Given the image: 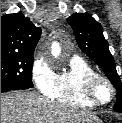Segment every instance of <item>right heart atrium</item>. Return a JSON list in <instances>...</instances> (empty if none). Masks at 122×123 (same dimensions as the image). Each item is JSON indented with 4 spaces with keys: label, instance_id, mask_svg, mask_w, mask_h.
<instances>
[{
    "label": "right heart atrium",
    "instance_id": "right-heart-atrium-1",
    "mask_svg": "<svg viewBox=\"0 0 122 123\" xmlns=\"http://www.w3.org/2000/svg\"><path fill=\"white\" fill-rule=\"evenodd\" d=\"M31 79L36 89L42 95L52 97L55 88L56 73L47 57L43 55L35 57L31 67Z\"/></svg>",
    "mask_w": 122,
    "mask_h": 123
}]
</instances>
